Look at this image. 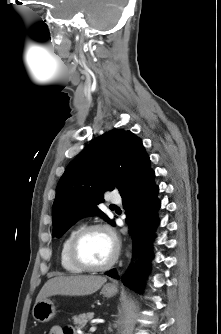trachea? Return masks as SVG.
<instances>
[{
    "label": "trachea",
    "instance_id": "obj_1",
    "mask_svg": "<svg viewBox=\"0 0 221 334\" xmlns=\"http://www.w3.org/2000/svg\"><path fill=\"white\" fill-rule=\"evenodd\" d=\"M110 207H111V208H114V207H115V205L111 204V205H110Z\"/></svg>",
    "mask_w": 221,
    "mask_h": 334
}]
</instances>
